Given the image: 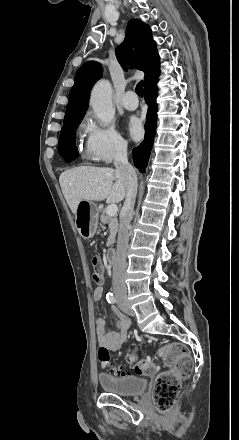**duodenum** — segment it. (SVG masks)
<instances>
[{
    "instance_id": "duodenum-1",
    "label": "duodenum",
    "mask_w": 239,
    "mask_h": 440,
    "mask_svg": "<svg viewBox=\"0 0 239 440\" xmlns=\"http://www.w3.org/2000/svg\"><path fill=\"white\" fill-rule=\"evenodd\" d=\"M106 258H107V262L110 265H113L115 263L116 260V252L114 249H109L106 253Z\"/></svg>"
}]
</instances>
